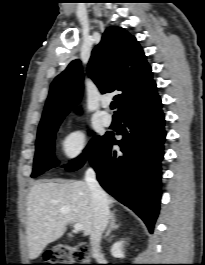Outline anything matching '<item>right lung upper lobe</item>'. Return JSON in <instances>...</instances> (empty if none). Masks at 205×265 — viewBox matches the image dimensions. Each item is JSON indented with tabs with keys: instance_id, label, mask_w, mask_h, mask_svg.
Returning <instances> with one entry per match:
<instances>
[{
	"instance_id": "obj_1",
	"label": "right lung upper lobe",
	"mask_w": 205,
	"mask_h": 265,
	"mask_svg": "<svg viewBox=\"0 0 205 265\" xmlns=\"http://www.w3.org/2000/svg\"><path fill=\"white\" fill-rule=\"evenodd\" d=\"M88 75L102 93L117 92L114 100L119 113L141 104L156 92L142 48L133 35L120 27L106 29L92 51ZM82 89L81 62L74 60L52 82L38 131L61 123L79 102Z\"/></svg>"
}]
</instances>
